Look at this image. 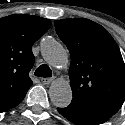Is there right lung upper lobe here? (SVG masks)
Masks as SVG:
<instances>
[{
  "label": "right lung upper lobe",
  "mask_w": 125,
  "mask_h": 125,
  "mask_svg": "<svg viewBox=\"0 0 125 125\" xmlns=\"http://www.w3.org/2000/svg\"><path fill=\"white\" fill-rule=\"evenodd\" d=\"M50 27L49 19L27 14L0 18V105L25 97L32 85V45Z\"/></svg>",
  "instance_id": "1"
}]
</instances>
